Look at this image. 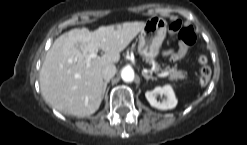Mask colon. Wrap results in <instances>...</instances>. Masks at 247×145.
<instances>
[{"label":"colon","mask_w":247,"mask_h":145,"mask_svg":"<svg viewBox=\"0 0 247 145\" xmlns=\"http://www.w3.org/2000/svg\"><path fill=\"white\" fill-rule=\"evenodd\" d=\"M169 31L178 40L182 48L193 45L197 41L193 27L184 26L181 20L173 21L169 26ZM198 62L201 65L199 81L202 86H205L211 78L212 71L208 65V58L205 55H200Z\"/></svg>","instance_id":"colon-1"}]
</instances>
